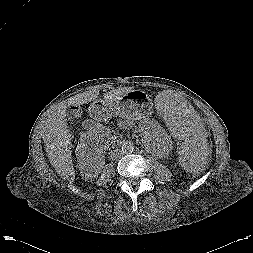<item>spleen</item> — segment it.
Returning a JSON list of instances; mask_svg holds the SVG:
<instances>
[{"instance_id": "spleen-1", "label": "spleen", "mask_w": 253, "mask_h": 253, "mask_svg": "<svg viewBox=\"0 0 253 253\" xmlns=\"http://www.w3.org/2000/svg\"><path fill=\"white\" fill-rule=\"evenodd\" d=\"M154 107L160 121L173 134L182 168L193 174L204 171L210 163L213 146L196 105L168 90L157 96Z\"/></svg>"}]
</instances>
